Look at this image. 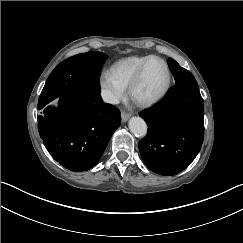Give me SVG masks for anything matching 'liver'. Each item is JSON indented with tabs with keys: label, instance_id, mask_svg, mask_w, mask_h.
<instances>
[{
	"label": "liver",
	"instance_id": "obj_1",
	"mask_svg": "<svg viewBox=\"0 0 243 243\" xmlns=\"http://www.w3.org/2000/svg\"><path fill=\"white\" fill-rule=\"evenodd\" d=\"M52 104L56 105L57 104V100L53 101Z\"/></svg>",
	"mask_w": 243,
	"mask_h": 243
}]
</instances>
